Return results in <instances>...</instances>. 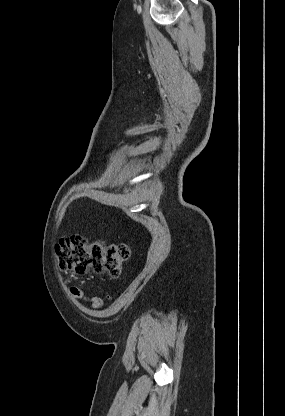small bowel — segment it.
Returning <instances> with one entry per match:
<instances>
[{
  "mask_svg": "<svg viewBox=\"0 0 285 416\" xmlns=\"http://www.w3.org/2000/svg\"><path fill=\"white\" fill-rule=\"evenodd\" d=\"M72 294L76 297L85 298L87 301L91 303L92 307L96 310L100 309L103 305V300L100 297L94 296V295L93 296L85 295L83 291L78 288H74L72 290Z\"/></svg>",
  "mask_w": 285,
  "mask_h": 416,
  "instance_id": "c3829d8e",
  "label": "small bowel"
}]
</instances>
